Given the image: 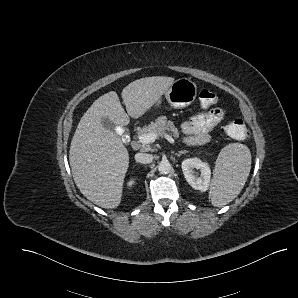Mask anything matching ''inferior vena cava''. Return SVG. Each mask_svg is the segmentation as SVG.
I'll return each instance as SVG.
<instances>
[{
	"label": "inferior vena cava",
	"mask_w": 298,
	"mask_h": 298,
	"mask_svg": "<svg viewBox=\"0 0 298 298\" xmlns=\"http://www.w3.org/2000/svg\"><path fill=\"white\" fill-rule=\"evenodd\" d=\"M135 160L136 162H139L142 164H150L153 161V155L148 153H136Z\"/></svg>",
	"instance_id": "602c4592"
}]
</instances>
